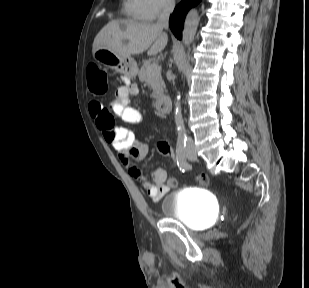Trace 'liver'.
Wrapping results in <instances>:
<instances>
[{"mask_svg": "<svg viewBox=\"0 0 309 288\" xmlns=\"http://www.w3.org/2000/svg\"><path fill=\"white\" fill-rule=\"evenodd\" d=\"M167 42V34L157 24L112 20L95 37L93 52L106 48L122 56H131L148 50V55H156L164 50Z\"/></svg>", "mask_w": 309, "mask_h": 288, "instance_id": "liver-1", "label": "liver"}]
</instances>
